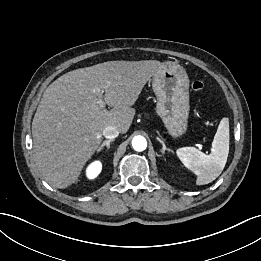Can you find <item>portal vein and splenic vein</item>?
Segmentation results:
<instances>
[{
  "mask_svg": "<svg viewBox=\"0 0 261 261\" xmlns=\"http://www.w3.org/2000/svg\"><path fill=\"white\" fill-rule=\"evenodd\" d=\"M96 94H97V103L99 105L100 108H104L105 107V102L103 100V93H104V90L103 89H96Z\"/></svg>",
  "mask_w": 261,
  "mask_h": 261,
  "instance_id": "obj_1",
  "label": "portal vein and splenic vein"
}]
</instances>
